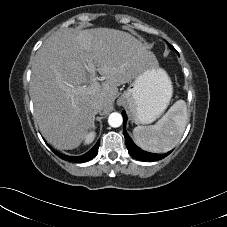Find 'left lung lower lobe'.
Instances as JSON below:
<instances>
[{"instance_id": "obj_1", "label": "left lung lower lobe", "mask_w": 227, "mask_h": 227, "mask_svg": "<svg viewBox=\"0 0 227 227\" xmlns=\"http://www.w3.org/2000/svg\"><path fill=\"white\" fill-rule=\"evenodd\" d=\"M122 115H123V132H124V136H125L126 147L128 149V152L135 159L140 160V161H156V160H160V159L166 157L167 155H169L171 153V151H170L166 154H153V153L143 151L139 147H137L134 144V142L132 141V139L129 137V135L127 134L126 129H125V125H126V121H127L126 113L123 111Z\"/></svg>"}]
</instances>
